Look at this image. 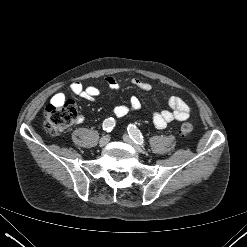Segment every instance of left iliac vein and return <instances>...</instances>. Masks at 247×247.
Returning a JSON list of instances; mask_svg holds the SVG:
<instances>
[{"label": "left iliac vein", "instance_id": "left-iliac-vein-1", "mask_svg": "<svg viewBox=\"0 0 247 247\" xmlns=\"http://www.w3.org/2000/svg\"><path fill=\"white\" fill-rule=\"evenodd\" d=\"M123 139L126 143L132 146L137 152L139 153L143 152V149L137 143H135L129 135H124Z\"/></svg>", "mask_w": 247, "mask_h": 247}]
</instances>
